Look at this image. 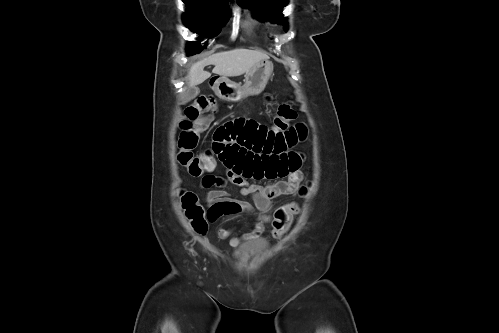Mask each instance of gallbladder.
<instances>
[{
    "label": "gallbladder",
    "instance_id": "gallbladder-1",
    "mask_svg": "<svg viewBox=\"0 0 499 333\" xmlns=\"http://www.w3.org/2000/svg\"><path fill=\"white\" fill-rule=\"evenodd\" d=\"M198 95V89L196 87H190L186 91V96L189 100L194 99Z\"/></svg>",
    "mask_w": 499,
    "mask_h": 333
}]
</instances>
